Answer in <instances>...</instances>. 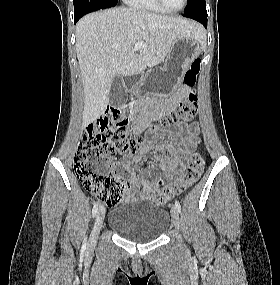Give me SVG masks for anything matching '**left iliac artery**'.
<instances>
[{"mask_svg": "<svg viewBox=\"0 0 280 285\" xmlns=\"http://www.w3.org/2000/svg\"><path fill=\"white\" fill-rule=\"evenodd\" d=\"M175 207L177 208V210L180 212L181 211V205L178 201H175Z\"/></svg>", "mask_w": 280, "mask_h": 285, "instance_id": "1", "label": "left iliac artery"}]
</instances>
